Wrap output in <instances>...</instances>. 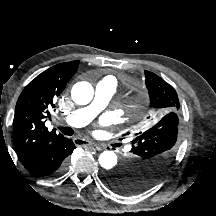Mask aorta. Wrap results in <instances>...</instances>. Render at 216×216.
Instances as JSON below:
<instances>
[{
  "mask_svg": "<svg viewBox=\"0 0 216 216\" xmlns=\"http://www.w3.org/2000/svg\"><path fill=\"white\" fill-rule=\"evenodd\" d=\"M93 95V87L88 82L76 83L71 91L73 101L79 105L90 103ZM99 164L102 168L110 170L117 164V155L113 151H104L99 156Z\"/></svg>",
  "mask_w": 216,
  "mask_h": 216,
  "instance_id": "aorta-1",
  "label": "aorta"
}]
</instances>
